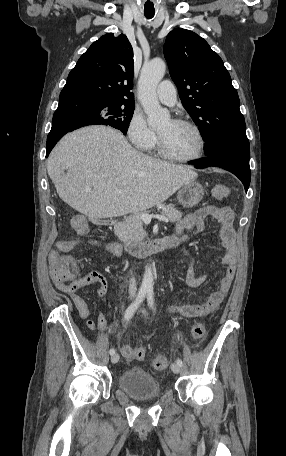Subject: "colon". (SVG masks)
<instances>
[{"instance_id":"5ec220e1","label":"colon","mask_w":286,"mask_h":456,"mask_svg":"<svg viewBox=\"0 0 286 456\" xmlns=\"http://www.w3.org/2000/svg\"><path fill=\"white\" fill-rule=\"evenodd\" d=\"M212 195L215 198H223L229 195L230 189L226 185H217L212 188ZM75 230L80 234H86L89 231L88 224L81 217H76L73 221ZM52 273L54 279L66 285L71 289H75L77 284L80 283L84 276L77 262L67 256H58L52 266ZM192 336L195 340H201L206 334V327L202 323L195 324L191 330ZM132 359L142 360L146 356L145 347H135L133 352L130 353ZM153 366L157 371H162L167 367V360L158 356L153 360Z\"/></svg>"}]
</instances>
